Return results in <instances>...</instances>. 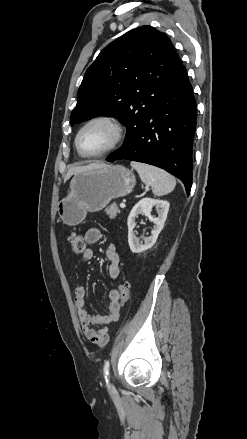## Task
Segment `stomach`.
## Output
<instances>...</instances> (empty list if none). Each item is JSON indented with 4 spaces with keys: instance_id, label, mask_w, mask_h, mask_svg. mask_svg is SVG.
<instances>
[{
    "instance_id": "0dacf381",
    "label": "stomach",
    "mask_w": 247,
    "mask_h": 439,
    "mask_svg": "<svg viewBox=\"0 0 247 439\" xmlns=\"http://www.w3.org/2000/svg\"><path fill=\"white\" fill-rule=\"evenodd\" d=\"M135 183L133 172L122 165H106L75 174L68 195L58 203V215L65 224L77 225L87 212L100 211L112 199L131 193Z\"/></svg>"
}]
</instances>
